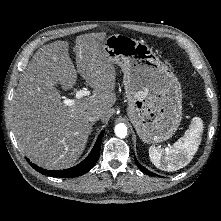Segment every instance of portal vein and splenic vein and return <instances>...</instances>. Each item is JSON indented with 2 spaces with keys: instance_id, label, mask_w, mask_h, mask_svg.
<instances>
[{
  "instance_id": "1",
  "label": "portal vein and splenic vein",
  "mask_w": 221,
  "mask_h": 221,
  "mask_svg": "<svg viewBox=\"0 0 221 221\" xmlns=\"http://www.w3.org/2000/svg\"><path fill=\"white\" fill-rule=\"evenodd\" d=\"M88 95H90V91H88V90H79V91L76 92L75 97H76V99H80L83 96H88ZM63 103L66 106H72V105H74L75 100L74 99H64Z\"/></svg>"
}]
</instances>
